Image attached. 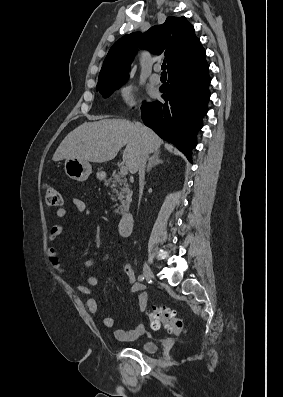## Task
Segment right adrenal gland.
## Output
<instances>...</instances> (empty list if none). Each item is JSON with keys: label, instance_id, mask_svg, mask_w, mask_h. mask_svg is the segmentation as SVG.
Segmentation results:
<instances>
[{"label": "right adrenal gland", "instance_id": "1", "mask_svg": "<svg viewBox=\"0 0 283 397\" xmlns=\"http://www.w3.org/2000/svg\"><path fill=\"white\" fill-rule=\"evenodd\" d=\"M159 152L154 153L150 158H149V162L147 165V169L146 172L149 173L150 170L152 169V167H154L155 165L162 163L163 161L159 158Z\"/></svg>", "mask_w": 283, "mask_h": 397}]
</instances>
